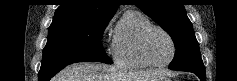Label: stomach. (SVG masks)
I'll use <instances>...</instances> for the list:
<instances>
[{
    "label": "stomach",
    "instance_id": "stomach-1",
    "mask_svg": "<svg viewBox=\"0 0 237 81\" xmlns=\"http://www.w3.org/2000/svg\"><path fill=\"white\" fill-rule=\"evenodd\" d=\"M152 81H171V80L169 77L162 76V77L156 78L155 80H152Z\"/></svg>",
    "mask_w": 237,
    "mask_h": 81
}]
</instances>
